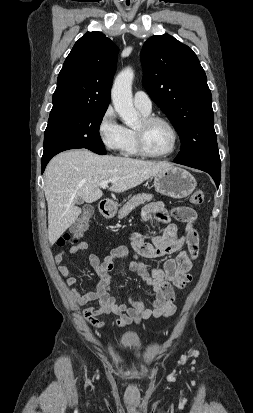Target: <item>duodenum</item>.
<instances>
[{
    "instance_id": "1",
    "label": "duodenum",
    "mask_w": 253,
    "mask_h": 413,
    "mask_svg": "<svg viewBox=\"0 0 253 413\" xmlns=\"http://www.w3.org/2000/svg\"><path fill=\"white\" fill-rule=\"evenodd\" d=\"M99 208H100V211H101L102 215L105 216V217H110L113 213V206L108 201H102L100 203Z\"/></svg>"
}]
</instances>
